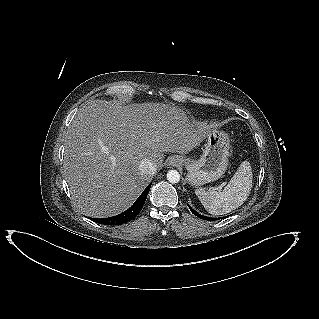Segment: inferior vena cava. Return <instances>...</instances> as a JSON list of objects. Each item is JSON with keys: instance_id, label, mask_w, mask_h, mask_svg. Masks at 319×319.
I'll list each match as a JSON object with an SVG mask.
<instances>
[{"instance_id": "1", "label": "inferior vena cava", "mask_w": 319, "mask_h": 319, "mask_svg": "<svg viewBox=\"0 0 319 319\" xmlns=\"http://www.w3.org/2000/svg\"><path fill=\"white\" fill-rule=\"evenodd\" d=\"M139 169L143 174L147 175H154L157 171L156 165L147 158L140 162Z\"/></svg>"}]
</instances>
